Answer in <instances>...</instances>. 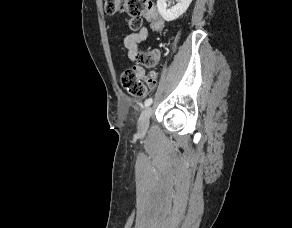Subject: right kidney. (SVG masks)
Wrapping results in <instances>:
<instances>
[{
	"mask_svg": "<svg viewBox=\"0 0 292 228\" xmlns=\"http://www.w3.org/2000/svg\"><path fill=\"white\" fill-rule=\"evenodd\" d=\"M167 0H157V8L165 21H173L183 15L191 4L192 0H178V3L168 8Z\"/></svg>",
	"mask_w": 292,
	"mask_h": 228,
	"instance_id": "right-kidney-1",
	"label": "right kidney"
}]
</instances>
